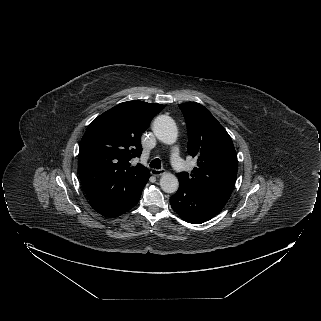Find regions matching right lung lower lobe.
<instances>
[{
	"mask_svg": "<svg viewBox=\"0 0 321 321\" xmlns=\"http://www.w3.org/2000/svg\"><path fill=\"white\" fill-rule=\"evenodd\" d=\"M147 181L132 193L102 195L94 199H89L90 205L103 216H120L138 203L142 189Z\"/></svg>",
	"mask_w": 321,
	"mask_h": 321,
	"instance_id": "right-lung-lower-lobe-1",
	"label": "right lung lower lobe"
}]
</instances>
